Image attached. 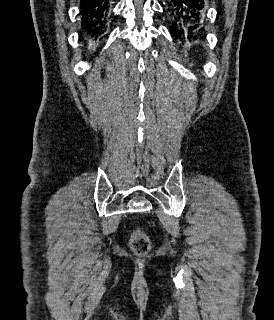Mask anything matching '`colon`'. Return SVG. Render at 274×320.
I'll use <instances>...</instances> for the list:
<instances>
[{"instance_id": "colon-1", "label": "colon", "mask_w": 274, "mask_h": 320, "mask_svg": "<svg viewBox=\"0 0 274 320\" xmlns=\"http://www.w3.org/2000/svg\"><path fill=\"white\" fill-rule=\"evenodd\" d=\"M130 247L136 254L145 255L150 249V241L144 233L137 231L131 238Z\"/></svg>"}]
</instances>
